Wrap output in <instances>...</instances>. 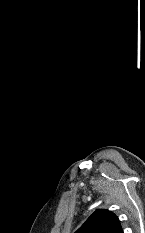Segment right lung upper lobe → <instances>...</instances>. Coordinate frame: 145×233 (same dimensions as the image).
Returning <instances> with one entry per match:
<instances>
[{"mask_svg":"<svg viewBox=\"0 0 145 233\" xmlns=\"http://www.w3.org/2000/svg\"><path fill=\"white\" fill-rule=\"evenodd\" d=\"M76 233H123L117 216L108 210L95 211Z\"/></svg>","mask_w":145,"mask_h":233,"instance_id":"right-lung-upper-lobe-1","label":"right lung upper lobe"}]
</instances>
